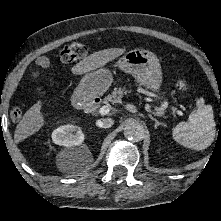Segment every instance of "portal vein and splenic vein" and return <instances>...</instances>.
<instances>
[{
  "instance_id": "obj_1",
  "label": "portal vein and splenic vein",
  "mask_w": 221,
  "mask_h": 221,
  "mask_svg": "<svg viewBox=\"0 0 221 221\" xmlns=\"http://www.w3.org/2000/svg\"><path fill=\"white\" fill-rule=\"evenodd\" d=\"M110 111V108L109 106H102L100 109H99V114L104 116V115H107ZM177 114L180 115V116H183L184 113L180 110H176Z\"/></svg>"
}]
</instances>
